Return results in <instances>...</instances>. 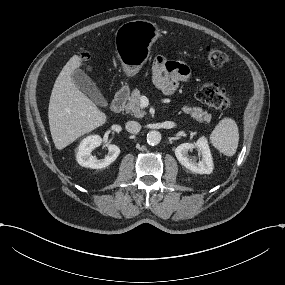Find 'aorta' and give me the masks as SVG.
Here are the masks:
<instances>
[{"instance_id": "762f6f07", "label": "aorta", "mask_w": 285, "mask_h": 285, "mask_svg": "<svg viewBox=\"0 0 285 285\" xmlns=\"http://www.w3.org/2000/svg\"><path fill=\"white\" fill-rule=\"evenodd\" d=\"M161 141V134L158 131H150L147 134V142L148 144L154 146L159 144Z\"/></svg>"}]
</instances>
